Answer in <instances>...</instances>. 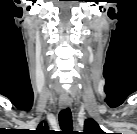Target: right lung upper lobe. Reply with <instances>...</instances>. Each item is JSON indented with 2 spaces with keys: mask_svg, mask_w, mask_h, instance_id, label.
<instances>
[{
  "mask_svg": "<svg viewBox=\"0 0 137 134\" xmlns=\"http://www.w3.org/2000/svg\"><path fill=\"white\" fill-rule=\"evenodd\" d=\"M48 132L49 130L46 122H44V126H43V123L41 122L35 131L36 134H46Z\"/></svg>",
  "mask_w": 137,
  "mask_h": 134,
  "instance_id": "cb5924a9",
  "label": "right lung upper lobe"
}]
</instances>
